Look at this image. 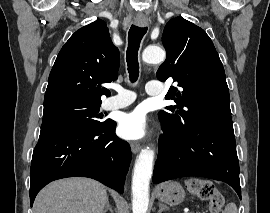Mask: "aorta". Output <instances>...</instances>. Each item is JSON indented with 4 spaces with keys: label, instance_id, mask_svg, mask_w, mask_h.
<instances>
[{
    "label": "aorta",
    "instance_id": "aorta-1",
    "mask_svg": "<svg viewBox=\"0 0 270 213\" xmlns=\"http://www.w3.org/2000/svg\"><path fill=\"white\" fill-rule=\"evenodd\" d=\"M142 59L149 64L160 63L165 52L158 46H149L142 53ZM154 150L147 147L141 150L135 162L132 176L133 213H146L149 204V182L152 175Z\"/></svg>",
    "mask_w": 270,
    "mask_h": 213
}]
</instances>
